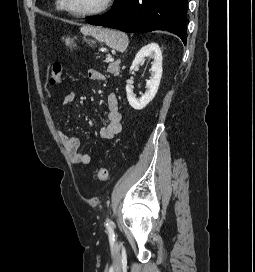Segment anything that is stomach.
Masks as SVG:
<instances>
[{"label": "stomach", "mask_w": 255, "mask_h": 272, "mask_svg": "<svg viewBox=\"0 0 255 272\" xmlns=\"http://www.w3.org/2000/svg\"><path fill=\"white\" fill-rule=\"evenodd\" d=\"M65 42H66V45L69 46L70 48L75 46V44L73 43V40H71L70 38H66ZM89 44H90V42H89Z\"/></svg>", "instance_id": "0dacf381"}]
</instances>
